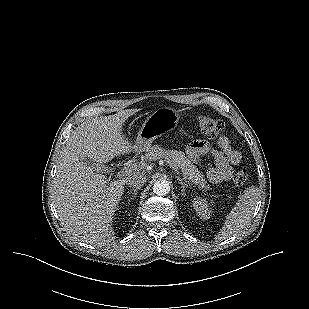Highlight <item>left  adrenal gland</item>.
I'll return each mask as SVG.
<instances>
[{"label": "left adrenal gland", "instance_id": "1", "mask_svg": "<svg viewBox=\"0 0 309 309\" xmlns=\"http://www.w3.org/2000/svg\"><path fill=\"white\" fill-rule=\"evenodd\" d=\"M178 183L181 185V192L184 195L185 193V188H188V184L183 181L179 176L177 177Z\"/></svg>", "mask_w": 309, "mask_h": 309}]
</instances>
